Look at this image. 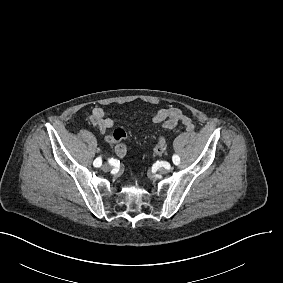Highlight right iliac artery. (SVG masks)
<instances>
[{
  "instance_id": "1",
  "label": "right iliac artery",
  "mask_w": 283,
  "mask_h": 283,
  "mask_svg": "<svg viewBox=\"0 0 283 283\" xmlns=\"http://www.w3.org/2000/svg\"><path fill=\"white\" fill-rule=\"evenodd\" d=\"M101 164H102V160H101L100 157H99V158H96V159L94 160V162H93L94 167H100Z\"/></svg>"
}]
</instances>
